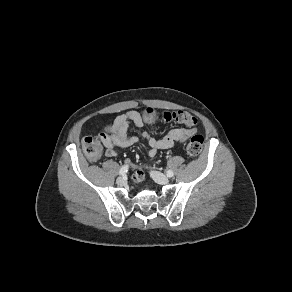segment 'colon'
<instances>
[{
  "instance_id": "1",
  "label": "colon",
  "mask_w": 292,
  "mask_h": 292,
  "mask_svg": "<svg viewBox=\"0 0 292 292\" xmlns=\"http://www.w3.org/2000/svg\"><path fill=\"white\" fill-rule=\"evenodd\" d=\"M143 119L148 123H153L159 120L164 121H176L179 123H184L187 125L195 124V118L192 117L185 111H174V112H158L155 109H146L142 113ZM112 127L107 126L100 135L96 137H85L82 140V149L86 157L90 161H97L102 155V145H101V137L104 135L111 134ZM204 139L201 135H194L186 144V152L191 157L198 156L203 148Z\"/></svg>"
}]
</instances>
